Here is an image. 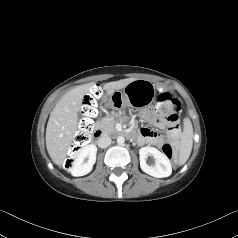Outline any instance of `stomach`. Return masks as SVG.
<instances>
[{
  "mask_svg": "<svg viewBox=\"0 0 238 238\" xmlns=\"http://www.w3.org/2000/svg\"><path fill=\"white\" fill-rule=\"evenodd\" d=\"M155 98V86L145 79H135L124 87L122 93H113L107 105L115 109L122 108L126 101L130 106H150Z\"/></svg>",
  "mask_w": 238,
  "mask_h": 238,
  "instance_id": "stomach-1",
  "label": "stomach"
}]
</instances>
